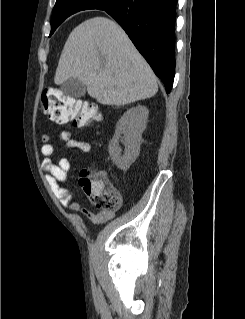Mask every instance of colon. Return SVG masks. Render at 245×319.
<instances>
[{
    "label": "colon",
    "instance_id": "obj_1",
    "mask_svg": "<svg viewBox=\"0 0 245 319\" xmlns=\"http://www.w3.org/2000/svg\"><path fill=\"white\" fill-rule=\"evenodd\" d=\"M42 107L48 116L58 122L72 121L77 127H85L101 118L95 105L69 97L57 89H46L42 94ZM80 187L92 204L103 211H115L120 207L119 191L104 171L83 170L79 176Z\"/></svg>",
    "mask_w": 245,
    "mask_h": 319
}]
</instances>
